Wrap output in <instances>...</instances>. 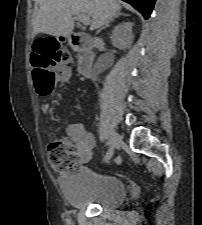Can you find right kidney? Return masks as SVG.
<instances>
[{
    "label": "right kidney",
    "mask_w": 202,
    "mask_h": 225,
    "mask_svg": "<svg viewBox=\"0 0 202 225\" xmlns=\"http://www.w3.org/2000/svg\"><path fill=\"white\" fill-rule=\"evenodd\" d=\"M132 27L133 23L123 22L114 28L110 38L115 47L124 50L131 47L134 39Z\"/></svg>",
    "instance_id": "right-kidney-1"
}]
</instances>
